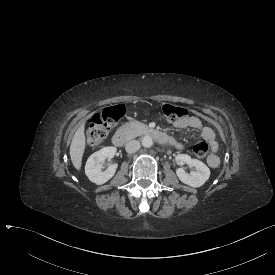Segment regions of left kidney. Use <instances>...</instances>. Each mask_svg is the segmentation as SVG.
<instances>
[{
  "mask_svg": "<svg viewBox=\"0 0 275 275\" xmlns=\"http://www.w3.org/2000/svg\"><path fill=\"white\" fill-rule=\"evenodd\" d=\"M175 160L179 164L186 163L188 166H193L196 170L189 175L183 169H178L176 173L182 183L193 188H199L208 180L210 170L202 161L192 159L186 154L177 155Z\"/></svg>",
  "mask_w": 275,
  "mask_h": 275,
  "instance_id": "obj_1",
  "label": "left kidney"
}]
</instances>
